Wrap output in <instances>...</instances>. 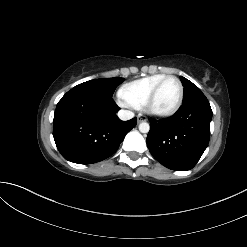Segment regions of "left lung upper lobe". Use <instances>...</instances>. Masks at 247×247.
Here are the masks:
<instances>
[{
  "label": "left lung upper lobe",
  "mask_w": 247,
  "mask_h": 247,
  "mask_svg": "<svg viewBox=\"0 0 247 247\" xmlns=\"http://www.w3.org/2000/svg\"><path fill=\"white\" fill-rule=\"evenodd\" d=\"M182 85L184 86V94H183V103L193 99L197 96H203L204 94L201 92V90L194 85L191 81L184 77H180Z\"/></svg>",
  "instance_id": "5c2ea615"
}]
</instances>
